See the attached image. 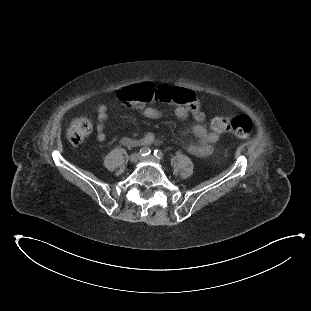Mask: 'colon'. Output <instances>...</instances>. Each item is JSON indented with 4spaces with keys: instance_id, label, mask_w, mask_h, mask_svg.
I'll use <instances>...</instances> for the list:
<instances>
[{
    "instance_id": "colon-1",
    "label": "colon",
    "mask_w": 311,
    "mask_h": 311,
    "mask_svg": "<svg viewBox=\"0 0 311 311\" xmlns=\"http://www.w3.org/2000/svg\"><path fill=\"white\" fill-rule=\"evenodd\" d=\"M120 101L126 103L127 109H136L140 104H152L155 102L175 104L182 106L195 117H203L201 103L189 90L162 87L157 89L147 83L138 87H124L118 93ZM229 118L214 117L210 122V128L215 132H228ZM233 130L239 138H245L250 130V120L244 114H237L234 118ZM92 124L86 117H80L72 121L66 132V137L72 146H79L91 133Z\"/></svg>"
}]
</instances>
